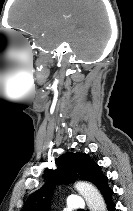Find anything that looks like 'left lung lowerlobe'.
<instances>
[{"instance_id":"left-lung-lower-lobe-1","label":"left lung lower lobe","mask_w":133,"mask_h":211,"mask_svg":"<svg viewBox=\"0 0 133 211\" xmlns=\"http://www.w3.org/2000/svg\"><path fill=\"white\" fill-rule=\"evenodd\" d=\"M106 202L108 211H115V203L113 201V190L108 186L104 191L101 192Z\"/></svg>"}]
</instances>
